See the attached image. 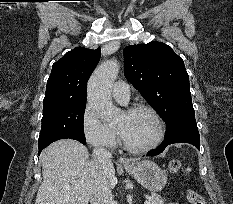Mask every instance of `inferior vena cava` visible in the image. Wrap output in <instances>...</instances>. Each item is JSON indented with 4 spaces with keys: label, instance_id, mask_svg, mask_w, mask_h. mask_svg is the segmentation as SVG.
Instances as JSON below:
<instances>
[{
    "label": "inferior vena cava",
    "instance_id": "1",
    "mask_svg": "<svg viewBox=\"0 0 233 204\" xmlns=\"http://www.w3.org/2000/svg\"><path fill=\"white\" fill-rule=\"evenodd\" d=\"M93 157L100 165L109 166L112 154L104 147L93 149ZM91 204H115L108 180L104 177L100 189L91 198Z\"/></svg>",
    "mask_w": 233,
    "mask_h": 204
}]
</instances>
